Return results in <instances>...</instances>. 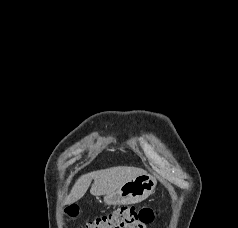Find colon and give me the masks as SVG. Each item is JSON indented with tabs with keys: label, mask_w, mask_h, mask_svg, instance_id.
Wrapping results in <instances>:
<instances>
[{
	"label": "colon",
	"mask_w": 238,
	"mask_h": 228,
	"mask_svg": "<svg viewBox=\"0 0 238 228\" xmlns=\"http://www.w3.org/2000/svg\"><path fill=\"white\" fill-rule=\"evenodd\" d=\"M78 208L70 206L66 209L69 217H75ZM157 215V211L148 207L124 205L97 216L78 228H136L138 225L150 224Z\"/></svg>",
	"instance_id": "colon-1"
}]
</instances>
